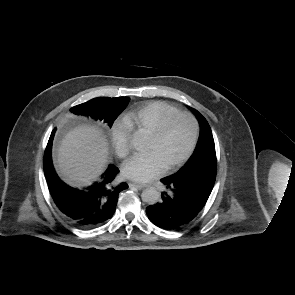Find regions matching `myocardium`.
I'll list each match as a JSON object with an SVG mask.
<instances>
[{
    "label": "myocardium",
    "instance_id": "f54148a6",
    "mask_svg": "<svg viewBox=\"0 0 295 295\" xmlns=\"http://www.w3.org/2000/svg\"><path fill=\"white\" fill-rule=\"evenodd\" d=\"M179 116H185L191 120V122L193 124V136H192V140H191V143H190L187 151L178 160H176L172 164L166 166L164 168L165 172L173 171V170L179 168L180 166H182L191 157V155L193 154V152L196 148L197 142H198L199 123L193 114L186 112V111H177V112H174V113L169 114L166 117H164L160 121L158 126L150 133V136L153 137L154 139H159L164 134L169 122Z\"/></svg>",
    "mask_w": 295,
    "mask_h": 295
}]
</instances>
